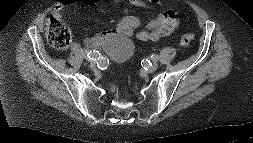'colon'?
<instances>
[{"mask_svg":"<svg viewBox=\"0 0 253 143\" xmlns=\"http://www.w3.org/2000/svg\"><path fill=\"white\" fill-rule=\"evenodd\" d=\"M45 33L50 45L57 50L68 48L72 40L70 29L56 16H52L47 20ZM192 39L193 36L191 34H185L180 38V45L188 46Z\"/></svg>","mask_w":253,"mask_h":143,"instance_id":"5ec220e1","label":"colon"}]
</instances>
